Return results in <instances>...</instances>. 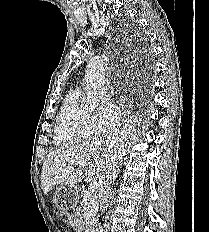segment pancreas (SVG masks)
<instances>
[{
	"label": "pancreas",
	"instance_id": "pancreas-1",
	"mask_svg": "<svg viewBox=\"0 0 209 232\" xmlns=\"http://www.w3.org/2000/svg\"><path fill=\"white\" fill-rule=\"evenodd\" d=\"M83 199L81 205L87 213V219L85 221L86 229L88 231L92 230L95 222V217L98 211V202L95 196L91 195L89 192H83Z\"/></svg>",
	"mask_w": 209,
	"mask_h": 232
}]
</instances>
